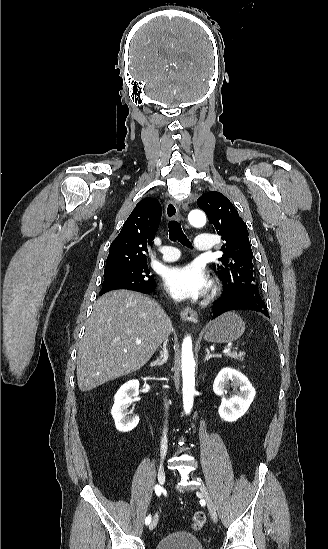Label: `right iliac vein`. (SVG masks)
<instances>
[{
	"mask_svg": "<svg viewBox=\"0 0 328 549\" xmlns=\"http://www.w3.org/2000/svg\"><path fill=\"white\" fill-rule=\"evenodd\" d=\"M165 479H166V476H165V471H164V468L162 466H160L159 470H158V481L161 483V484H164L165 483ZM157 523H158V516L156 515L152 522L150 523L149 525V529L150 530H153L156 526H157Z\"/></svg>",
	"mask_w": 328,
	"mask_h": 549,
	"instance_id": "right-iliac-vein-1",
	"label": "right iliac vein"
}]
</instances>
